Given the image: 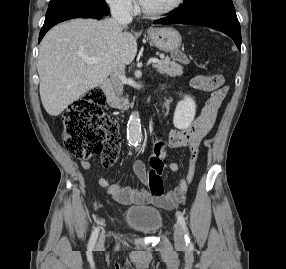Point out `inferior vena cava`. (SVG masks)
<instances>
[{"label": "inferior vena cava", "mask_w": 286, "mask_h": 269, "mask_svg": "<svg viewBox=\"0 0 286 269\" xmlns=\"http://www.w3.org/2000/svg\"><path fill=\"white\" fill-rule=\"evenodd\" d=\"M111 14L114 20L120 25H127L132 21L130 9L124 5L114 6L111 9ZM112 83L116 92L120 95L123 93L124 80H125V66H120L115 69L111 75Z\"/></svg>", "instance_id": "602c4592"}]
</instances>
